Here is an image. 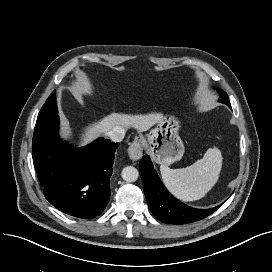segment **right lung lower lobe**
<instances>
[{"instance_id":"98d812e1","label":"right lung lower lobe","mask_w":272,"mask_h":272,"mask_svg":"<svg viewBox=\"0 0 272 272\" xmlns=\"http://www.w3.org/2000/svg\"><path fill=\"white\" fill-rule=\"evenodd\" d=\"M58 130V115L36 121L32 156L44 195L68 215L94 218L109 202V179L119 143L99 138L74 149L60 140Z\"/></svg>"}]
</instances>
